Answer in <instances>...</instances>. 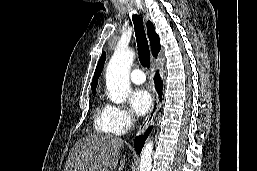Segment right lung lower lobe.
I'll list each match as a JSON object with an SVG mask.
<instances>
[{
	"label": "right lung lower lobe",
	"mask_w": 257,
	"mask_h": 171,
	"mask_svg": "<svg viewBox=\"0 0 257 171\" xmlns=\"http://www.w3.org/2000/svg\"><path fill=\"white\" fill-rule=\"evenodd\" d=\"M155 85H156V90L158 91V94L161 97L162 96V87H163V85H162V81H161L160 76H159L158 73L155 76ZM151 130H152V128L150 127L147 130V132L145 133V135L136 137L135 142H134V146H135V149H136V151L138 153L141 152L142 147L144 145V140L148 137V135L151 132Z\"/></svg>",
	"instance_id": "obj_1"
}]
</instances>
